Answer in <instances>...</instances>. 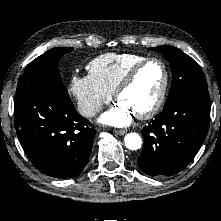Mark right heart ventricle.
<instances>
[{"instance_id": "1", "label": "right heart ventricle", "mask_w": 221, "mask_h": 221, "mask_svg": "<svg viewBox=\"0 0 221 221\" xmlns=\"http://www.w3.org/2000/svg\"><path fill=\"white\" fill-rule=\"evenodd\" d=\"M145 59L147 57L140 54L106 53L90 61L87 69L99 85L113 94L128 71Z\"/></svg>"}]
</instances>
